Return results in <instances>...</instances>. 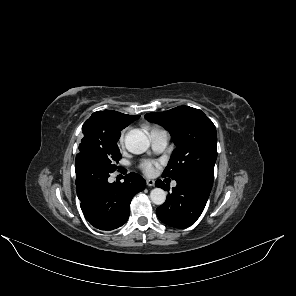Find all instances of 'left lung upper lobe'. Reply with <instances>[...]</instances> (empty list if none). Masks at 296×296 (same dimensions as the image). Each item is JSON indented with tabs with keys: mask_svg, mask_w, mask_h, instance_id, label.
Returning a JSON list of instances; mask_svg holds the SVG:
<instances>
[{
	"mask_svg": "<svg viewBox=\"0 0 296 296\" xmlns=\"http://www.w3.org/2000/svg\"><path fill=\"white\" fill-rule=\"evenodd\" d=\"M145 117L166 128L176 145L163 177L174 180L193 175L214 177L216 128L201 110L179 106L165 112L147 113Z\"/></svg>",
	"mask_w": 296,
	"mask_h": 296,
	"instance_id": "1",
	"label": "left lung upper lobe"
}]
</instances>
